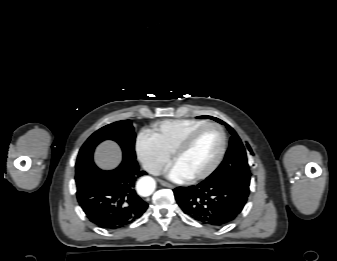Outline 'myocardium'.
<instances>
[{"label": "myocardium", "mask_w": 337, "mask_h": 261, "mask_svg": "<svg viewBox=\"0 0 337 261\" xmlns=\"http://www.w3.org/2000/svg\"><path fill=\"white\" fill-rule=\"evenodd\" d=\"M207 128H215L219 131L221 135V147L219 150L218 155L216 156L215 160L212 162V164L206 168L204 171L195 174L193 176H190L188 179L190 181H199L202 179H205L209 177L211 174H213L216 169L220 166L221 162L224 159V156L226 154L227 146H228V138L227 134L224 130V128L216 123V122H205L204 124L194 128L191 130L178 144V146L175 148V150L172 153V161L175 163L176 160L191 146V144L194 142L196 137L205 129Z\"/></svg>", "instance_id": "f54148a6"}]
</instances>
